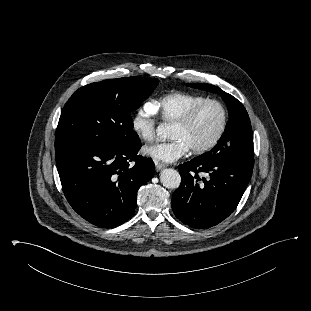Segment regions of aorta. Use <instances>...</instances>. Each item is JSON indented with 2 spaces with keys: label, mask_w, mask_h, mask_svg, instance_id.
<instances>
[{
  "label": "aorta",
  "mask_w": 311,
  "mask_h": 311,
  "mask_svg": "<svg viewBox=\"0 0 311 311\" xmlns=\"http://www.w3.org/2000/svg\"><path fill=\"white\" fill-rule=\"evenodd\" d=\"M156 134L160 140L165 141L170 137V127L166 123H161L156 129ZM160 181L164 187L176 189L180 186L181 177L178 171L167 168L161 171Z\"/></svg>",
  "instance_id": "1"
}]
</instances>
